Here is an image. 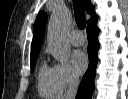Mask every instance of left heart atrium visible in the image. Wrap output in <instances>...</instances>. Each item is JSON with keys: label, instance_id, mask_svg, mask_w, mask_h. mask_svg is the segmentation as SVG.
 I'll return each mask as SVG.
<instances>
[{"label": "left heart atrium", "instance_id": "39dd6f15", "mask_svg": "<svg viewBox=\"0 0 128 99\" xmlns=\"http://www.w3.org/2000/svg\"><path fill=\"white\" fill-rule=\"evenodd\" d=\"M72 63L75 71L82 74L88 66V58L84 52L76 51L72 56Z\"/></svg>", "mask_w": 128, "mask_h": 99}]
</instances>
